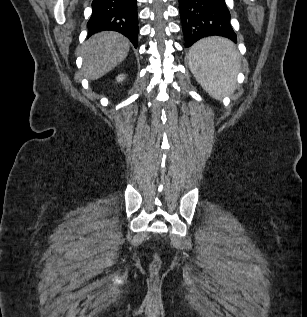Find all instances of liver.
Here are the masks:
<instances>
[{"instance_id":"obj_1","label":"liver","mask_w":307,"mask_h":317,"mask_svg":"<svg viewBox=\"0 0 307 317\" xmlns=\"http://www.w3.org/2000/svg\"><path fill=\"white\" fill-rule=\"evenodd\" d=\"M129 49V40L117 32L95 34L83 46L85 77L96 80L106 75L127 57Z\"/></svg>"}]
</instances>
